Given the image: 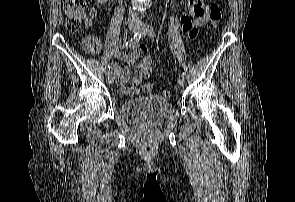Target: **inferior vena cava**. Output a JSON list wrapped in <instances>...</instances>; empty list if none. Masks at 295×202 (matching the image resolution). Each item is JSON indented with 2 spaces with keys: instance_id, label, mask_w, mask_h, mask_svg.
<instances>
[{
  "instance_id": "1",
  "label": "inferior vena cava",
  "mask_w": 295,
  "mask_h": 202,
  "mask_svg": "<svg viewBox=\"0 0 295 202\" xmlns=\"http://www.w3.org/2000/svg\"><path fill=\"white\" fill-rule=\"evenodd\" d=\"M129 19L137 20L138 14L134 10L129 9Z\"/></svg>"
}]
</instances>
